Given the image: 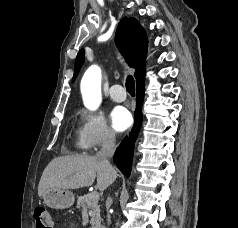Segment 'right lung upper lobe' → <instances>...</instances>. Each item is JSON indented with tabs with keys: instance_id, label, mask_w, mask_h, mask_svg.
<instances>
[{
	"instance_id": "cb5924a9",
	"label": "right lung upper lobe",
	"mask_w": 238,
	"mask_h": 228,
	"mask_svg": "<svg viewBox=\"0 0 238 228\" xmlns=\"http://www.w3.org/2000/svg\"><path fill=\"white\" fill-rule=\"evenodd\" d=\"M115 42L127 64L135 68L134 75L136 81L139 82L145 77L147 39L144 29L135 18L124 17L118 25ZM83 62L84 50L82 49L76 57L72 82L77 77Z\"/></svg>"
}]
</instances>
